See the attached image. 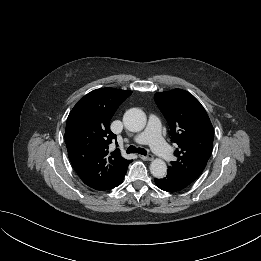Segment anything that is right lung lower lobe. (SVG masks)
<instances>
[{"label": "right lung lower lobe", "instance_id": "1", "mask_svg": "<svg viewBox=\"0 0 261 261\" xmlns=\"http://www.w3.org/2000/svg\"><path fill=\"white\" fill-rule=\"evenodd\" d=\"M123 178H124V177H123ZM123 178H122V179H121L117 184L111 186L110 188H108V189H106V190H109V189L115 188L116 186L120 185L121 182H122V180H123Z\"/></svg>", "mask_w": 261, "mask_h": 261}]
</instances>
